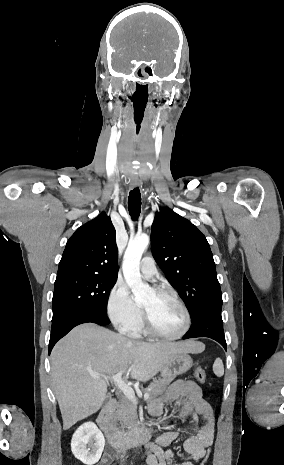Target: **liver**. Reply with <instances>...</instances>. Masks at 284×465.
Returning <instances> with one entry per match:
<instances>
[{"instance_id": "6515ba94", "label": "liver", "mask_w": 284, "mask_h": 465, "mask_svg": "<svg viewBox=\"0 0 284 465\" xmlns=\"http://www.w3.org/2000/svg\"><path fill=\"white\" fill-rule=\"evenodd\" d=\"M200 341L141 343L85 323L75 327L55 345L51 355V377L67 431L77 421L90 417L102 407L108 377L124 371L125 379L149 381L177 353H203ZM90 375H106L93 379Z\"/></svg>"}]
</instances>
